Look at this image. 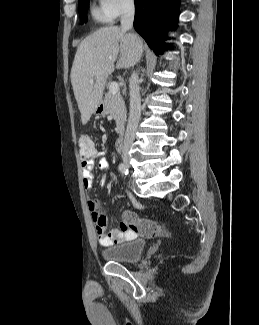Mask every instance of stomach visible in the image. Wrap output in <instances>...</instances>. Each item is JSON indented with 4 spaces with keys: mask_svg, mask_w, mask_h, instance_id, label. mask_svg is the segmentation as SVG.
<instances>
[{
    "mask_svg": "<svg viewBox=\"0 0 259 325\" xmlns=\"http://www.w3.org/2000/svg\"><path fill=\"white\" fill-rule=\"evenodd\" d=\"M94 114L97 116H102L106 114V106L104 101H101L94 110Z\"/></svg>",
    "mask_w": 259,
    "mask_h": 325,
    "instance_id": "1",
    "label": "stomach"
}]
</instances>
